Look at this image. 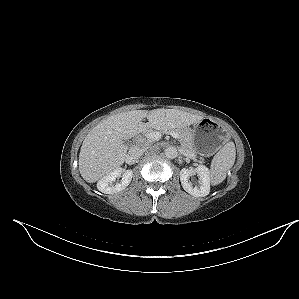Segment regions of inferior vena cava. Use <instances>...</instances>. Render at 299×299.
Returning a JSON list of instances; mask_svg holds the SVG:
<instances>
[{"label":"inferior vena cava","mask_w":299,"mask_h":299,"mask_svg":"<svg viewBox=\"0 0 299 299\" xmlns=\"http://www.w3.org/2000/svg\"><path fill=\"white\" fill-rule=\"evenodd\" d=\"M146 150H147V146L134 145L129 149L128 154L132 160H136L140 158Z\"/></svg>","instance_id":"inferior-vena-cava-1"}]
</instances>
